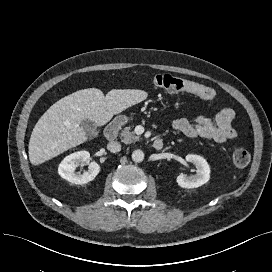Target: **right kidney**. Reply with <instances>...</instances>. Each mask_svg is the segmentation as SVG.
Returning <instances> with one entry per match:
<instances>
[{
  "mask_svg": "<svg viewBox=\"0 0 272 272\" xmlns=\"http://www.w3.org/2000/svg\"><path fill=\"white\" fill-rule=\"evenodd\" d=\"M90 160V154L87 151L72 153L60 163L58 173L62 178L71 183L86 184L92 181L100 171V165ZM82 163L88 164V170L82 174L75 172V169Z\"/></svg>",
  "mask_w": 272,
  "mask_h": 272,
  "instance_id": "1",
  "label": "right kidney"
}]
</instances>
